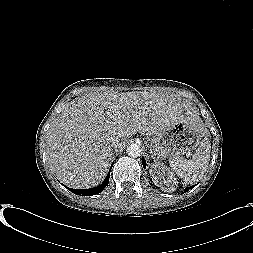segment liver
Masks as SVG:
<instances>
[{
	"label": "liver",
	"mask_w": 253,
	"mask_h": 253,
	"mask_svg": "<svg viewBox=\"0 0 253 253\" xmlns=\"http://www.w3.org/2000/svg\"><path fill=\"white\" fill-rule=\"evenodd\" d=\"M177 121L202 120L179 96L160 92H90L76 97L47 132V161L65 185H99L106 176L114 137L125 141L137 132L155 135Z\"/></svg>",
	"instance_id": "6515ba94"
}]
</instances>
